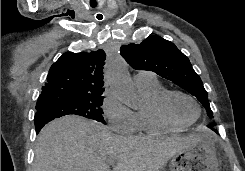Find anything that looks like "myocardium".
Here are the masks:
<instances>
[{"label": "myocardium", "instance_id": "myocardium-1", "mask_svg": "<svg viewBox=\"0 0 245 171\" xmlns=\"http://www.w3.org/2000/svg\"><path fill=\"white\" fill-rule=\"evenodd\" d=\"M175 95L183 96V97L189 99L195 105V107L197 109V116L193 121H191L189 123H183V122L176 120L172 116V114L170 113V110H169V102H170V99ZM156 109H157V113H158L159 117L164 122H166L167 124H169L171 126L178 127V128L190 127V126L194 125L201 117V107H200L199 103L197 102V100L193 96H191L190 94L183 92L181 90H176V89L165 90L157 99Z\"/></svg>", "mask_w": 245, "mask_h": 171}]
</instances>
